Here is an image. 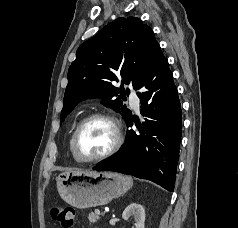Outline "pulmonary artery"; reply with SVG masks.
<instances>
[{
    "instance_id": "pulmonary-artery-1",
    "label": "pulmonary artery",
    "mask_w": 238,
    "mask_h": 228,
    "mask_svg": "<svg viewBox=\"0 0 238 228\" xmlns=\"http://www.w3.org/2000/svg\"><path fill=\"white\" fill-rule=\"evenodd\" d=\"M130 99H131V103H132L133 108L135 110H137L138 107H139V99H138V97L135 96V95H132Z\"/></svg>"
}]
</instances>
